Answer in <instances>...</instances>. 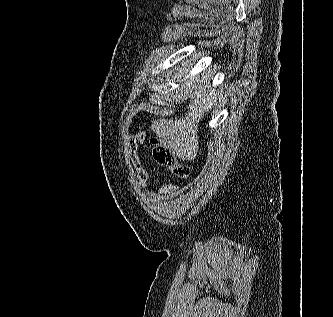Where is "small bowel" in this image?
<instances>
[{
    "label": "small bowel",
    "mask_w": 333,
    "mask_h": 317,
    "mask_svg": "<svg viewBox=\"0 0 333 317\" xmlns=\"http://www.w3.org/2000/svg\"><path fill=\"white\" fill-rule=\"evenodd\" d=\"M145 140L146 135L143 132H138L131 135L126 142L128 158L130 159L138 182L142 188H145L149 182V173L145 169L139 155V146L143 145ZM176 192L177 186L171 182H166L157 191V198L164 202L172 198Z\"/></svg>",
    "instance_id": "1"
}]
</instances>
